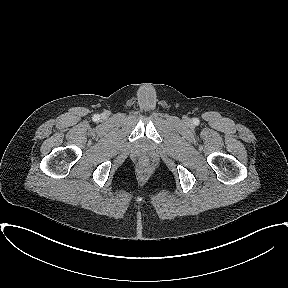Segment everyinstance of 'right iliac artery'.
Returning <instances> with one entry per match:
<instances>
[{
    "label": "right iliac artery",
    "mask_w": 288,
    "mask_h": 288,
    "mask_svg": "<svg viewBox=\"0 0 288 288\" xmlns=\"http://www.w3.org/2000/svg\"><path fill=\"white\" fill-rule=\"evenodd\" d=\"M99 119V116L98 115H95L94 116V120H98Z\"/></svg>",
    "instance_id": "right-iliac-artery-1"
}]
</instances>
